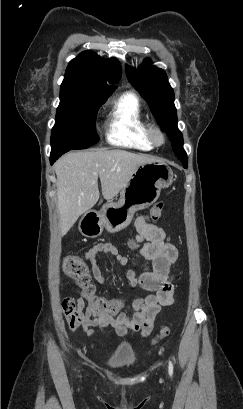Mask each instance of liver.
I'll return each instance as SVG.
<instances>
[{
  "label": "liver",
  "instance_id": "1",
  "mask_svg": "<svg viewBox=\"0 0 243 409\" xmlns=\"http://www.w3.org/2000/svg\"><path fill=\"white\" fill-rule=\"evenodd\" d=\"M155 161L149 156L119 149L79 151L62 156L54 164L61 236L99 200L98 177L104 199L111 201L141 165Z\"/></svg>",
  "mask_w": 243,
  "mask_h": 409
}]
</instances>
